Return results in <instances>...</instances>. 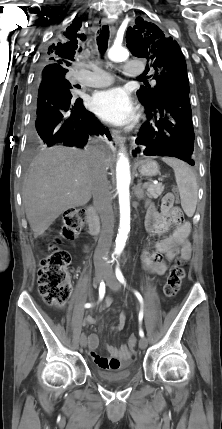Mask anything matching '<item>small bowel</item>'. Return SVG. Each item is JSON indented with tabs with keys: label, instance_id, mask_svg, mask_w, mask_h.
Listing matches in <instances>:
<instances>
[{
	"label": "small bowel",
	"instance_id": "1",
	"mask_svg": "<svg viewBox=\"0 0 222 429\" xmlns=\"http://www.w3.org/2000/svg\"><path fill=\"white\" fill-rule=\"evenodd\" d=\"M145 225L152 236H162L166 234L172 226L173 231L166 237L153 243L151 250H146L142 254L143 267L154 275H163L168 268V264L175 257L180 255L184 260L191 256L192 247L188 240L191 225L185 220L180 208L165 206L162 204L161 211H158L153 205L148 204ZM87 250L85 246L84 251ZM112 298L109 297L104 303V308L110 307ZM86 322L90 325L98 324V319L94 316H87ZM126 323V314L121 312L118 323L112 329L121 331ZM99 346L98 336L94 333L88 337L89 353L94 363L106 370H119L129 364L133 350L127 345L115 347L107 345L109 357H103L98 354Z\"/></svg>",
	"mask_w": 222,
	"mask_h": 429
}]
</instances>
